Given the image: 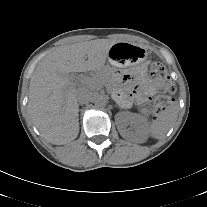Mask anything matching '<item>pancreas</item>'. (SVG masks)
<instances>
[{
  "mask_svg": "<svg viewBox=\"0 0 207 207\" xmlns=\"http://www.w3.org/2000/svg\"><path fill=\"white\" fill-rule=\"evenodd\" d=\"M114 82L111 77L103 70H98L95 72L93 78H91V89H98L101 86H106L108 89L113 90ZM141 113L148 114L147 109H142Z\"/></svg>",
  "mask_w": 207,
  "mask_h": 207,
  "instance_id": "cf45deb5",
  "label": "pancreas"
}]
</instances>
